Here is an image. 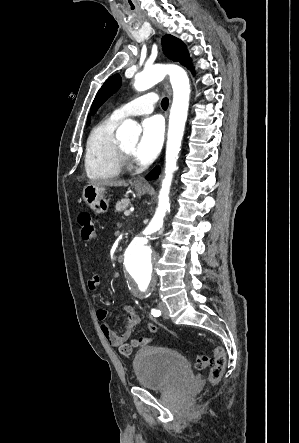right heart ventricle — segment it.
<instances>
[{
  "instance_id": "1",
  "label": "right heart ventricle",
  "mask_w": 299,
  "mask_h": 443,
  "mask_svg": "<svg viewBox=\"0 0 299 443\" xmlns=\"http://www.w3.org/2000/svg\"><path fill=\"white\" fill-rule=\"evenodd\" d=\"M120 120L112 116L101 121L90 132L85 151V170L93 180L113 179L120 175L119 141L115 129Z\"/></svg>"
}]
</instances>
